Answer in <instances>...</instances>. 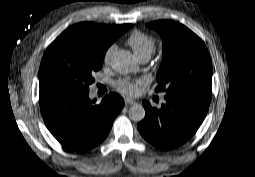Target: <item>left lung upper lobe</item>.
Segmentation results:
<instances>
[{"label":"left lung upper lobe","mask_w":255,"mask_h":177,"mask_svg":"<svg viewBox=\"0 0 255 177\" xmlns=\"http://www.w3.org/2000/svg\"><path fill=\"white\" fill-rule=\"evenodd\" d=\"M163 41V59L156 91L173 95L186 91L211 93L212 63L203 41L184 25L159 20L147 24Z\"/></svg>","instance_id":"1"}]
</instances>
